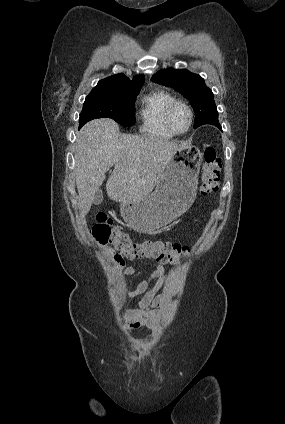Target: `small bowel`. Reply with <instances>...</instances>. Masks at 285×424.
<instances>
[{"mask_svg":"<svg viewBox=\"0 0 285 424\" xmlns=\"http://www.w3.org/2000/svg\"><path fill=\"white\" fill-rule=\"evenodd\" d=\"M140 269L135 266L125 267L123 274L126 276L136 275ZM150 279L141 281L134 290H126L124 293L127 297L140 296L138 301L139 311L131 312L124 315L123 325L130 329H139L148 327L153 321V309L160 308L164 305L168 291H161L163 286L168 283L167 275L163 266L155 265L149 267ZM155 283L150 287V282ZM135 344L142 350L148 351L153 344L150 341H136Z\"/></svg>","mask_w":285,"mask_h":424,"instance_id":"obj_1","label":"small bowel"}]
</instances>
